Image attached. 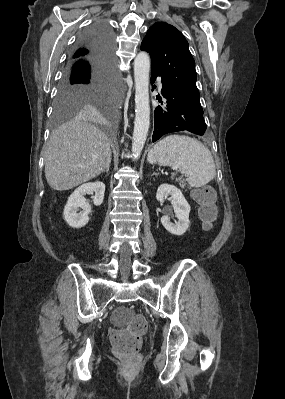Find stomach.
<instances>
[{
	"mask_svg": "<svg viewBox=\"0 0 285 399\" xmlns=\"http://www.w3.org/2000/svg\"><path fill=\"white\" fill-rule=\"evenodd\" d=\"M147 160H148V162L151 163V164L156 163V161H157V156H156V154L154 153L153 150L150 151V153L148 154Z\"/></svg>",
	"mask_w": 285,
	"mask_h": 399,
	"instance_id": "1",
	"label": "stomach"
}]
</instances>
